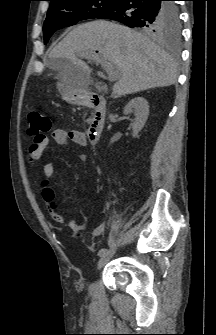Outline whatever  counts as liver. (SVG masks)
<instances>
[{
  "instance_id": "6515ba94",
  "label": "liver",
  "mask_w": 216,
  "mask_h": 335,
  "mask_svg": "<svg viewBox=\"0 0 216 335\" xmlns=\"http://www.w3.org/2000/svg\"><path fill=\"white\" fill-rule=\"evenodd\" d=\"M95 51L119 73L112 89L115 97L169 86L177 80V65L165 50L135 30L103 20L75 27L53 48L49 57L51 68L59 71L57 79L64 77L72 88L83 87L91 69L80 57Z\"/></svg>"
}]
</instances>
